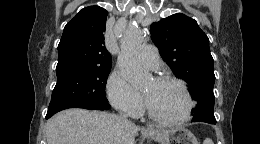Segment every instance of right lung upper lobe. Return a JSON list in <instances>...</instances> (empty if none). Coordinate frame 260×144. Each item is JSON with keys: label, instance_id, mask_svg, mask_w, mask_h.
<instances>
[{"label": "right lung upper lobe", "instance_id": "right-lung-upper-lobe-1", "mask_svg": "<svg viewBox=\"0 0 260 144\" xmlns=\"http://www.w3.org/2000/svg\"><path fill=\"white\" fill-rule=\"evenodd\" d=\"M108 11L85 7L64 28L58 45L57 68L111 67L112 58L104 46Z\"/></svg>", "mask_w": 260, "mask_h": 144}]
</instances>
